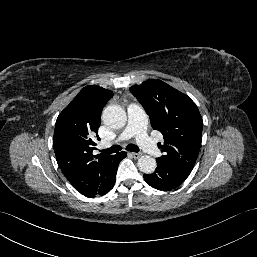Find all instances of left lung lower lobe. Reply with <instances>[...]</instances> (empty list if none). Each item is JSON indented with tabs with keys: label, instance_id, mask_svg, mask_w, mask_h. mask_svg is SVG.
I'll list each match as a JSON object with an SVG mask.
<instances>
[{
	"label": "left lung lower lobe",
	"instance_id": "0a47b994",
	"mask_svg": "<svg viewBox=\"0 0 257 257\" xmlns=\"http://www.w3.org/2000/svg\"><path fill=\"white\" fill-rule=\"evenodd\" d=\"M189 176L167 163L157 160V168L152 174H144V180L157 190L169 191L178 187Z\"/></svg>",
	"mask_w": 257,
	"mask_h": 257
}]
</instances>
